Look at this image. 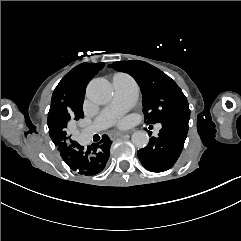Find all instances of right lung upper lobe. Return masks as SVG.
Here are the masks:
<instances>
[{
	"label": "right lung upper lobe",
	"instance_id": "obj_1",
	"mask_svg": "<svg viewBox=\"0 0 241 241\" xmlns=\"http://www.w3.org/2000/svg\"><path fill=\"white\" fill-rule=\"evenodd\" d=\"M48 127L49 135L58 148L73 142L69 133L70 126L61 119L48 115Z\"/></svg>",
	"mask_w": 241,
	"mask_h": 241
}]
</instances>
